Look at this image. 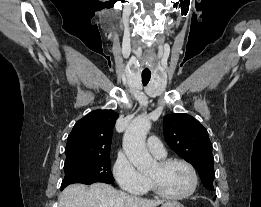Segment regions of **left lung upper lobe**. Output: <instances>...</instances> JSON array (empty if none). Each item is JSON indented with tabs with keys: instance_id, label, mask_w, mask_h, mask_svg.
<instances>
[{
	"instance_id": "5c2ea615",
	"label": "left lung upper lobe",
	"mask_w": 261,
	"mask_h": 207,
	"mask_svg": "<svg viewBox=\"0 0 261 207\" xmlns=\"http://www.w3.org/2000/svg\"><path fill=\"white\" fill-rule=\"evenodd\" d=\"M163 122L167 144L196 168L205 188L213 189L212 144L207 130L194 117L184 113L167 115Z\"/></svg>"
}]
</instances>
